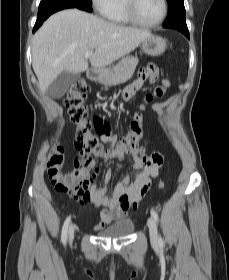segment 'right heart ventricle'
<instances>
[{"instance_id":"obj_1","label":"right heart ventricle","mask_w":229,"mask_h":280,"mask_svg":"<svg viewBox=\"0 0 229 280\" xmlns=\"http://www.w3.org/2000/svg\"><path fill=\"white\" fill-rule=\"evenodd\" d=\"M106 18L115 24L128 25L131 23L124 7V0H116L115 5L106 15Z\"/></svg>"}]
</instances>
